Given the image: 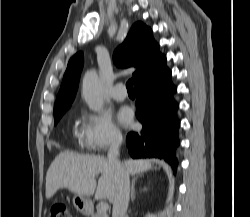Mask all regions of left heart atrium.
<instances>
[{
  "instance_id": "obj_1",
  "label": "left heart atrium",
  "mask_w": 250,
  "mask_h": 217,
  "mask_svg": "<svg viewBox=\"0 0 250 217\" xmlns=\"http://www.w3.org/2000/svg\"><path fill=\"white\" fill-rule=\"evenodd\" d=\"M119 121L124 124L128 125L132 122V113L128 109H123L118 114Z\"/></svg>"
}]
</instances>
